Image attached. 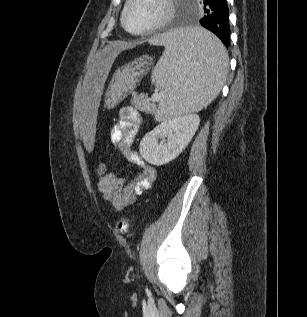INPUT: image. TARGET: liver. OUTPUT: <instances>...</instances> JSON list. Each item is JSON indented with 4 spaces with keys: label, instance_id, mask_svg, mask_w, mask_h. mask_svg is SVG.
Listing matches in <instances>:
<instances>
[{
    "label": "liver",
    "instance_id": "1",
    "mask_svg": "<svg viewBox=\"0 0 307 317\" xmlns=\"http://www.w3.org/2000/svg\"><path fill=\"white\" fill-rule=\"evenodd\" d=\"M135 44L123 41H116L106 46L102 53L90 64L83 82V93L79 102L78 125L80 141L84 142L82 154H95L96 143L99 141L98 135H92L96 127V116L100 111L102 103V92L105 91L103 82L108 78L111 63L115 58L120 57V52L134 47ZM102 81V82H100ZM165 92V91H164ZM165 97V93L161 102Z\"/></svg>",
    "mask_w": 307,
    "mask_h": 317
}]
</instances>
